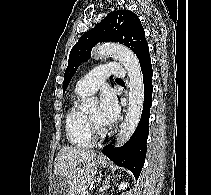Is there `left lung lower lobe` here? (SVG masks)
<instances>
[{
	"instance_id": "obj_1",
	"label": "left lung lower lobe",
	"mask_w": 211,
	"mask_h": 195,
	"mask_svg": "<svg viewBox=\"0 0 211 195\" xmlns=\"http://www.w3.org/2000/svg\"><path fill=\"white\" fill-rule=\"evenodd\" d=\"M144 82V104L140 122L129 139L122 147L114 148L107 145L102 153L119 166L129 169L136 179L139 177L146 157V143L149 133V110L152 105V66L151 59L147 58L141 63Z\"/></svg>"
}]
</instances>
